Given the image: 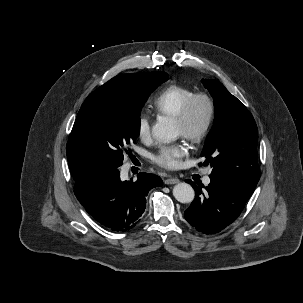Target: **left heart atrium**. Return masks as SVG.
Instances as JSON below:
<instances>
[{"instance_id": "left-heart-atrium-1", "label": "left heart atrium", "mask_w": 303, "mask_h": 303, "mask_svg": "<svg viewBox=\"0 0 303 303\" xmlns=\"http://www.w3.org/2000/svg\"><path fill=\"white\" fill-rule=\"evenodd\" d=\"M187 149L182 144H173L162 146L154 155V161L167 169L177 168L180 164V159L185 156Z\"/></svg>"}]
</instances>
